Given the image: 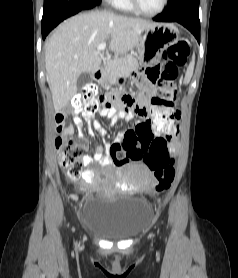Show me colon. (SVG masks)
<instances>
[{
	"instance_id": "5ec220e1",
	"label": "colon",
	"mask_w": 238,
	"mask_h": 278,
	"mask_svg": "<svg viewBox=\"0 0 238 278\" xmlns=\"http://www.w3.org/2000/svg\"><path fill=\"white\" fill-rule=\"evenodd\" d=\"M189 54L188 43L184 40L168 47L163 53V66L160 84L155 85L156 91L150 98L152 113L147 125L153 127V133L170 135L175 129L176 101L179 95L178 81L180 68L186 63ZM96 87L86 85L79 94L72 99L75 109H82L94 113L98 109L99 101L96 98ZM123 100H134L125 95ZM152 137H140L141 144L132 141L114 143L109 153L113 164L119 166L129 160H143L156 178V190L168 189L174 179L173 149L167 144H150ZM56 149L60 156V166L71 178H79L82 174V156L85 148L78 143L72 134H61L56 139Z\"/></svg>"
}]
</instances>
